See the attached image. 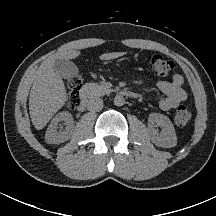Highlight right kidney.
<instances>
[{"mask_svg": "<svg viewBox=\"0 0 216 216\" xmlns=\"http://www.w3.org/2000/svg\"><path fill=\"white\" fill-rule=\"evenodd\" d=\"M61 121H65V131L58 130V124ZM73 128L74 121L72 114L67 111L61 112L58 115H56L49 124L45 134V140L46 142L52 144H59L64 141H67L71 137Z\"/></svg>", "mask_w": 216, "mask_h": 216, "instance_id": "right-kidney-1", "label": "right kidney"}]
</instances>
